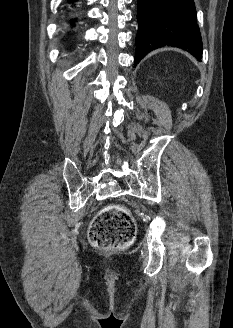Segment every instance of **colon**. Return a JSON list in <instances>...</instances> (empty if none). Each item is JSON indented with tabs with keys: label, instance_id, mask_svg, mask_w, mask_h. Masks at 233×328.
Here are the masks:
<instances>
[{
	"label": "colon",
	"instance_id": "obj_1",
	"mask_svg": "<svg viewBox=\"0 0 233 328\" xmlns=\"http://www.w3.org/2000/svg\"><path fill=\"white\" fill-rule=\"evenodd\" d=\"M135 233L136 223L130 212L119 205H108L93 220L89 240L97 248H120L129 245Z\"/></svg>",
	"mask_w": 233,
	"mask_h": 328
}]
</instances>
